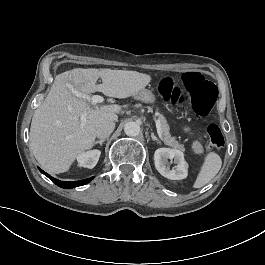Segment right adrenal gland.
Instances as JSON below:
<instances>
[{"label":"right adrenal gland","mask_w":265,"mask_h":265,"mask_svg":"<svg viewBox=\"0 0 265 265\" xmlns=\"http://www.w3.org/2000/svg\"><path fill=\"white\" fill-rule=\"evenodd\" d=\"M109 138H107V139H100V140H97V141H95L94 143H93V145H96V144H100V145H102L103 143H104V141H106V140H108Z\"/></svg>","instance_id":"2a0ac1e0"}]
</instances>
